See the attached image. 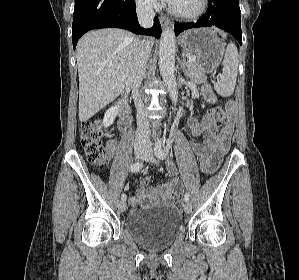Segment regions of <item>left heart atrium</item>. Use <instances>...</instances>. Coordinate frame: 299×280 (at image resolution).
Listing matches in <instances>:
<instances>
[{"label": "left heart atrium", "instance_id": "39dd6f15", "mask_svg": "<svg viewBox=\"0 0 299 280\" xmlns=\"http://www.w3.org/2000/svg\"><path fill=\"white\" fill-rule=\"evenodd\" d=\"M164 1H166L169 4H172L175 0H164Z\"/></svg>", "mask_w": 299, "mask_h": 280}]
</instances>
